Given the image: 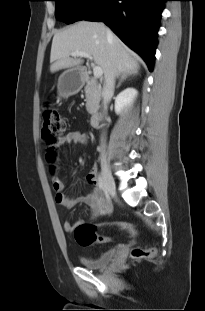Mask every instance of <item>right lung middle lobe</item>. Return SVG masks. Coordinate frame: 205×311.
<instances>
[{
	"mask_svg": "<svg viewBox=\"0 0 205 311\" xmlns=\"http://www.w3.org/2000/svg\"><path fill=\"white\" fill-rule=\"evenodd\" d=\"M56 3L57 20L71 24L83 20L98 9L103 0H53Z\"/></svg>",
	"mask_w": 205,
	"mask_h": 311,
	"instance_id": "1",
	"label": "right lung middle lobe"
}]
</instances>
